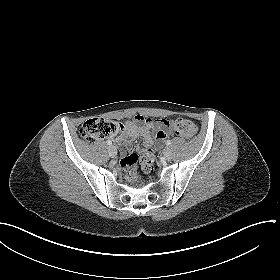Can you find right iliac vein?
Returning <instances> with one entry per match:
<instances>
[{"label": "right iliac vein", "instance_id": "right-iliac-vein-1", "mask_svg": "<svg viewBox=\"0 0 280 280\" xmlns=\"http://www.w3.org/2000/svg\"><path fill=\"white\" fill-rule=\"evenodd\" d=\"M108 152H109V155H110L112 158L116 157V155H117V149H116V147H115L114 145H111V146L109 147Z\"/></svg>", "mask_w": 280, "mask_h": 280}]
</instances>
